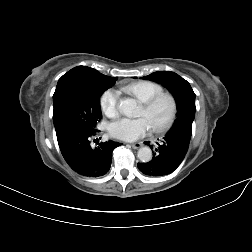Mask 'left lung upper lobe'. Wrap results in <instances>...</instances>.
Returning <instances> with one entry per match:
<instances>
[{"instance_id":"obj_1","label":"left lung upper lobe","mask_w":252,"mask_h":252,"mask_svg":"<svg viewBox=\"0 0 252 252\" xmlns=\"http://www.w3.org/2000/svg\"><path fill=\"white\" fill-rule=\"evenodd\" d=\"M165 86L174 96L177 103V118L172 127L187 121L192 124L195 117V93L188 81L170 71H159L142 77Z\"/></svg>"}]
</instances>
